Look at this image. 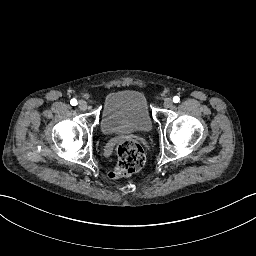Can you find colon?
I'll return each mask as SVG.
<instances>
[{
  "label": "colon",
  "instance_id": "1",
  "mask_svg": "<svg viewBox=\"0 0 256 256\" xmlns=\"http://www.w3.org/2000/svg\"><path fill=\"white\" fill-rule=\"evenodd\" d=\"M118 161L114 169L107 173L109 179L130 176L145 164V154L139 143L133 139H125L117 147Z\"/></svg>",
  "mask_w": 256,
  "mask_h": 256
}]
</instances>
